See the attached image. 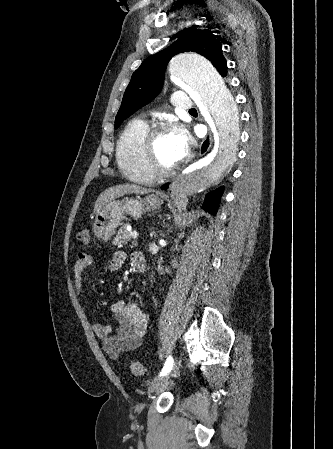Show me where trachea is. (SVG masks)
Returning a JSON list of instances; mask_svg holds the SVG:
<instances>
[{"instance_id": "trachea-1", "label": "trachea", "mask_w": 333, "mask_h": 449, "mask_svg": "<svg viewBox=\"0 0 333 449\" xmlns=\"http://www.w3.org/2000/svg\"><path fill=\"white\" fill-rule=\"evenodd\" d=\"M189 112H196V109H190Z\"/></svg>"}]
</instances>
